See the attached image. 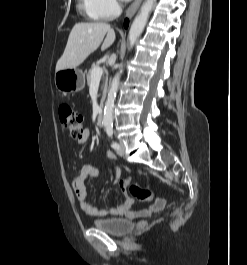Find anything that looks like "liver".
<instances>
[{
  "label": "liver",
  "instance_id": "1",
  "mask_svg": "<svg viewBox=\"0 0 247 265\" xmlns=\"http://www.w3.org/2000/svg\"><path fill=\"white\" fill-rule=\"evenodd\" d=\"M106 35V38L104 39ZM116 35L109 24L103 22L77 23L72 28L63 55L56 64V71L72 69L81 65L96 51L103 39L104 51L115 41Z\"/></svg>",
  "mask_w": 247,
  "mask_h": 265
}]
</instances>
